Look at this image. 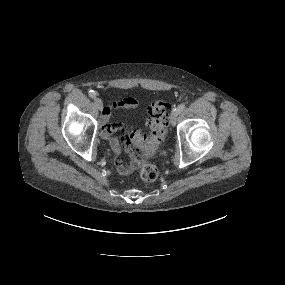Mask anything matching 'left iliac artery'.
<instances>
[{"label":"left iliac artery","mask_w":285,"mask_h":285,"mask_svg":"<svg viewBox=\"0 0 285 285\" xmlns=\"http://www.w3.org/2000/svg\"><path fill=\"white\" fill-rule=\"evenodd\" d=\"M184 109H185V104H184V103H181L180 105H178V107H177L175 110L180 113V112H182Z\"/></svg>","instance_id":"left-iliac-artery-1"}]
</instances>
